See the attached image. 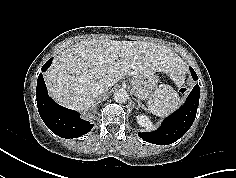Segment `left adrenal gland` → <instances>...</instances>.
<instances>
[{"instance_id":"1","label":"left adrenal gland","mask_w":236,"mask_h":178,"mask_svg":"<svg viewBox=\"0 0 236 178\" xmlns=\"http://www.w3.org/2000/svg\"><path fill=\"white\" fill-rule=\"evenodd\" d=\"M141 106H142V104L138 101V105H137L136 109H138Z\"/></svg>"}]
</instances>
